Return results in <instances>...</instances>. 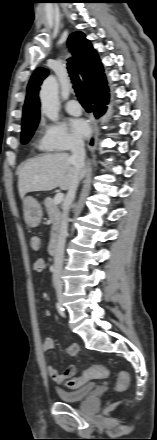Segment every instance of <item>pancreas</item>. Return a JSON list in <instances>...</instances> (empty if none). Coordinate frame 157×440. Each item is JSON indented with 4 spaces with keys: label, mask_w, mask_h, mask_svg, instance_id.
<instances>
[{
    "label": "pancreas",
    "mask_w": 157,
    "mask_h": 440,
    "mask_svg": "<svg viewBox=\"0 0 157 440\" xmlns=\"http://www.w3.org/2000/svg\"><path fill=\"white\" fill-rule=\"evenodd\" d=\"M44 205L46 207L47 214L52 223L51 233H50V242H54L60 226L61 221V213L57 205L54 204V200L50 197H47L44 200Z\"/></svg>",
    "instance_id": "obj_1"
}]
</instances>
